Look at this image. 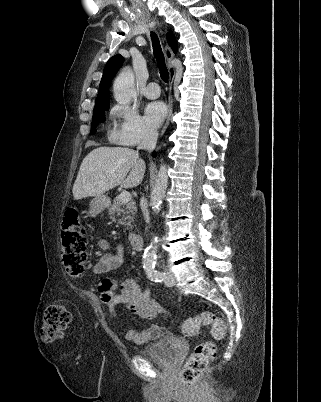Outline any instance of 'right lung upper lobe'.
Returning a JSON list of instances; mask_svg holds the SVG:
<instances>
[{"mask_svg": "<svg viewBox=\"0 0 321 402\" xmlns=\"http://www.w3.org/2000/svg\"><path fill=\"white\" fill-rule=\"evenodd\" d=\"M168 43L173 48L174 52L177 51L176 41L172 34H168ZM123 57L120 54H117L110 58L105 65L103 76L99 86V92L96 98L95 108H99L105 105H109L110 95H109V87L111 85V81L120 66L122 65Z\"/></svg>", "mask_w": 321, "mask_h": 402, "instance_id": "1", "label": "right lung upper lobe"}]
</instances>
